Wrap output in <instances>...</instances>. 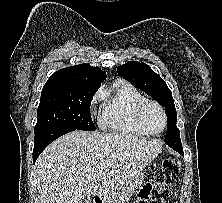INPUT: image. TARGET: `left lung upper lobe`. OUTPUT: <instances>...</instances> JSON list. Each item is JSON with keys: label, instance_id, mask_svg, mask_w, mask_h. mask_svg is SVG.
I'll list each match as a JSON object with an SVG mask.
<instances>
[{"label": "left lung upper lobe", "instance_id": "1", "mask_svg": "<svg viewBox=\"0 0 222 203\" xmlns=\"http://www.w3.org/2000/svg\"><path fill=\"white\" fill-rule=\"evenodd\" d=\"M117 72L120 76L149 94L165 108L168 125L165 143L167 145L181 144L180 132L176 126L177 112L172 93L162 78L143 62L131 61L120 65L117 68Z\"/></svg>", "mask_w": 222, "mask_h": 203}]
</instances>
